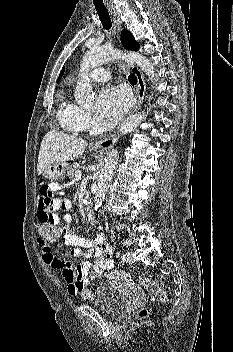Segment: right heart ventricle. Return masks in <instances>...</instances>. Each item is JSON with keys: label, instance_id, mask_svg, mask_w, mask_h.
<instances>
[{"label": "right heart ventricle", "instance_id": "right-heart-ventricle-1", "mask_svg": "<svg viewBox=\"0 0 233 352\" xmlns=\"http://www.w3.org/2000/svg\"><path fill=\"white\" fill-rule=\"evenodd\" d=\"M80 115L81 109L68 100L62 102L57 112V118L62 129L73 134L83 130Z\"/></svg>", "mask_w": 233, "mask_h": 352}]
</instances>
